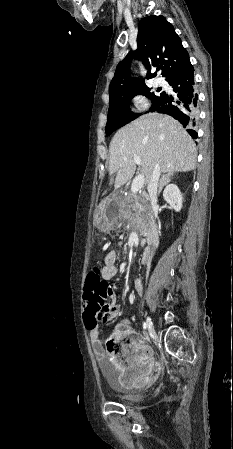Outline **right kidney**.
Masks as SVG:
<instances>
[{"label":"right kidney","instance_id":"obj_1","mask_svg":"<svg viewBox=\"0 0 233 449\" xmlns=\"http://www.w3.org/2000/svg\"><path fill=\"white\" fill-rule=\"evenodd\" d=\"M163 198L176 212L181 210L183 197L177 185H167L163 191Z\"/></svg>","mask_w":233,"mask_h":449}]
</instances>
